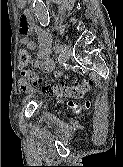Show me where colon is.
Returning <instances> with one entry per match:
<instances>
[{"label":"colon","instance_id":"obj_1","mask_svg":"<svg viewBox=\"0 0 123 167\" xmlns=\"http://www.w3.org/2000/svg\"><path fill=\"white\" fill-rule=\"evenodd\" d=\"M18 60L20 66L22 67L24 81L28 84L37 83L39 81L38 74L34 70L27 68L30 61L29 53L26 50L21 49L18 54ZM91 87V81L83 80L74 84L48 83L44 86V90L57 97L66 98L73 103L83 99Z\"/></svg>","mask_w":123,"mask_h":167}]
</instances>
